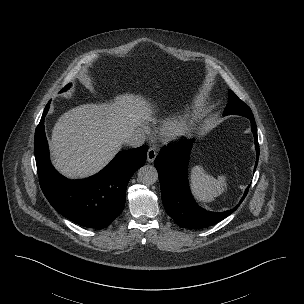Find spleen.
<instances>
[{
    "mask_svg": "<svg viewBox=\"0 0 304 304\" xmlns=\"http://www.w3.org/2000/svg\"><path fill=\"white\" fill-rule=\"evenodd\" d=\"M190 184L194 197L202 203L213 201L227 187L224 175L214 178L208 175L200 166H195L191 169Z\"/></svg>",
    "mask_w": 304,
    "mask_h": 304,
    "instance_id": "1",
    "label": "spleen"
}]
</instances>
